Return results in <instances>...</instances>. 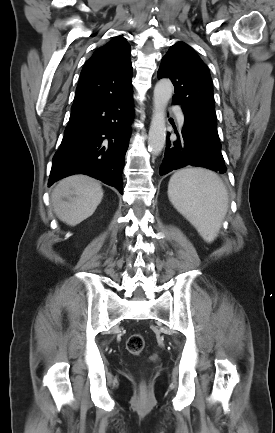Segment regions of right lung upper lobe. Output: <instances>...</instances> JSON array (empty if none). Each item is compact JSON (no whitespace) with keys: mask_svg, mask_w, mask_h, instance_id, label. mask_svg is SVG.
<instances>
[{"mask_svg":"<svg viewBox=\"0 0 275 433\" xmlns=\"http://www.w3.org/2000/svg\"><path fill=\"white\" fill-rule=\"evenodd\" d=\"M130 55L131 47L122 36L98 48L81 71L71 111L98 100L131 94Z\"/></svg>","mask_w":275,"mask_h":433,"instance_id":"1","label":"right lung upper lobe"}]
</instances>
